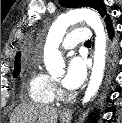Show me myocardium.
I'll list each match as a JSON object with an SVG mask.
<instances>
[{
    "mask_svg": "<svg viewBox=\"0 0 122 123\" xmlns=\"http://www.w3.org/2000/svg\"><path fill=\"white\" fill-rule=\"evenodd\" d=\"M56 95L60 99H68L71 97L70 94H68L64 89L60 88L59 86H57L56 88Z\"/></svg>",
    "mask_w": 122,
    "mask_h": 123,
    "instance_id": "1",
    "label": "myocardium"
}]
</instances>
